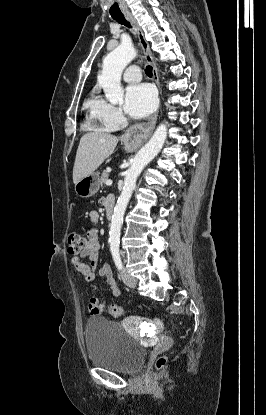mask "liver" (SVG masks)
Returning a JSON list of instances; mask_svg holds the SVG:
<instances>
[{
	"mask_svg": "<svg viewBox=\"0 0 266 415\" xmlns=\"http://www.w3.org/2000/svg\"><path fill=\"white\" fill-rule=\"evenodd\" d=\"M118 138L109 133L90 132L79 142L73 167V183L92 174L113 152Z\"/></svg>",
	"mask_w": 266,
	"mask_h": 415,
	"instance_id": "obj_1",
	"label": "liver"
}]
</instances>
